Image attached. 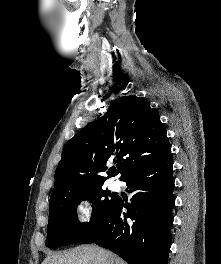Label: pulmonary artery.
<instances>
[{
  "mask_svg": "<svg viewBox=\"0 0 221 264\" xmlns=\"http://www.w3.org/2000/svg\"><path fill=\"white\" fill-rule=\"evenodd\" d=\"M111 187L113 189H117V188H119V183L117 181H113V182H111Z\"/></svg>",
  "mask_w": 221,
  "mask_h": 264,
  "instance_id": "1",
  "label": "pulmonary artery"
}]
</instances>
